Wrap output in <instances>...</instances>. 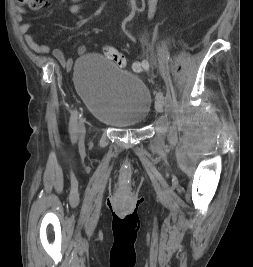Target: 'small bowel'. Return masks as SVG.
Segmentation results:
<instances>
[{
	"instance_id": "1",
	"label": "small bowel",
	"mask_w": 253,
	"mask_h": 267,
	"mask_svg": "<svg viewBox=\"0 0 253 267\" xmlns=\"http://www.w3.org/2000/svg\"><path fill=\"white\" fill-rule=\"evenodd\" d=\"M85 0H72L73 4L69 7V10L73 14L79 13L84 5ZM158 0H149L148 2V16L151 18L156 10ZM31 24L28 22H22L20 25V31L24 34L25 41L27 45L35 52L39 54H46L49 52L50 48L45 44H38L32 34L30 33ZM78 54L82 55L85 54L87 51V48L85 45L78 46ZM54 57L62 64L67 65L68 60L66 59L64 53L56 48L53 50Z\"/></svg>"
}]
</instances>
